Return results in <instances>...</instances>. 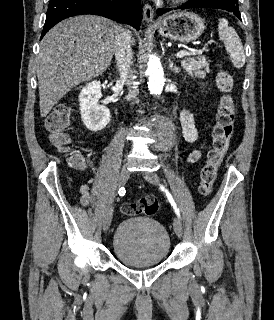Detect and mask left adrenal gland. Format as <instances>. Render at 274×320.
Returning <instances> with one entry per match:
<instances>
[{
	"instance_id": "1",
	"label": "left adrenal gland",
	"mask_w": 274,
	"mask_h": 320,
	"mask_svg": "<svg viewBox=\"0 0 274 320\" xmlns=\"http://www.w3.org/2000/svg\"><path fill=\"white\" fill-rule=\"evenodd\" d=\"M169 62V68L170 70H172V72H174V74H179L180 70L179 68H177V66H174L173 62H171V60H168Z\"/></svg>"
}]
</instances>
